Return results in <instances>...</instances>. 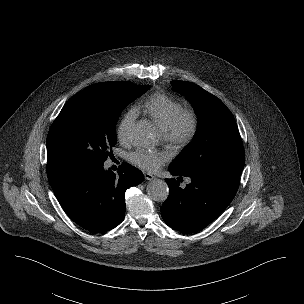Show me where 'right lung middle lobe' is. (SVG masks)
Segmentation results:
<instances>
[{
    "label": "right lung middle lobe",
    "instance_id": "right-lung-middle-lobe-1",
    "mask_svg": "<svg viewBox=\"0 0 304 304\" xmlns=\"http://www.w3.org/2000/svg\"><path fill=\"white\" fill-rule=\"evenodd\" d=\"M149 87L123 82L74 95L49 130L47 154L77 171L103 165L116 144L115 124L120 112Z\"/></svg>",
    "mask_w": 304,
    "mask_h": 304
}]
</instances>
